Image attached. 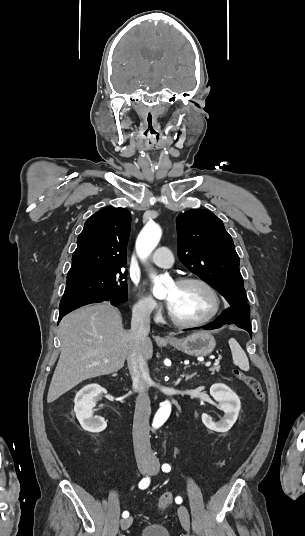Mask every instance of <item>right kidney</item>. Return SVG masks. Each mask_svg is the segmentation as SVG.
<instances>
[{
    "label": "right kidney",
    "instance_id": "1",
    "mask_svg": "<svg viewBox=\"0 0 305 536\" xmlns=\"http://www.w3.org/2000/svg\"><path fill=\"white\" fill-rule=\"evenodd\" d=\"M105 392L98 384H88L77 392L75 396V412L76 416L84 430L87 432H102L106 428V422L98 416H93L92 408L95 406L96 396ZM97 418V420H94Z\"/></svg>",
    "mask_w": 305,
    "mask_h": 536
}]
</instances>
